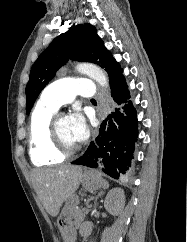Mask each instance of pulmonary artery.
Instances as JSON below:
<instances>
[{
    "label": "pulmonary artery",
    "instance_id": "e3ab8cb5",
    "mask_svg": "<svg viewBox=\"0 0 187 242\" xmlns=\"http://www.w3.org/2000/svg\"><path fill=\"white\" fill-rule=\"evenodd\" d=\"M95 94L94 83L84 78H64L48 85L41 94L40 102L59 109L74 100L77 95L92 97Z\"/></svg>",
    "mask_w": 187,
    "mask_h": 242
}]
</instances>
